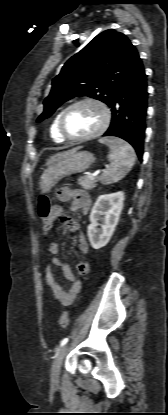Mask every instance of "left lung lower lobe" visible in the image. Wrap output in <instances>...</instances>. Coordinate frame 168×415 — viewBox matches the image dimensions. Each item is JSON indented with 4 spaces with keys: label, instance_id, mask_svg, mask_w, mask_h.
Masks as SVG:
<instances>
[{
    "label": "left lung lower lobe",
    "instance_id": "obj_1",
    "mask_svg": "<svg viewBox=\"0 0 168 415\" xmlns=\"http://www.w3.org/2000/svg\"><path fill=\"white\" fill-rule=\"evenodd\" d=\"M147 97L146 74L139 59L109 104L112 120L103 135L116 136L129 142L140 160L144 149Z\"/></svg>",
    "mask_w": 168,
    "mask_h": 415
}]
</instances>
